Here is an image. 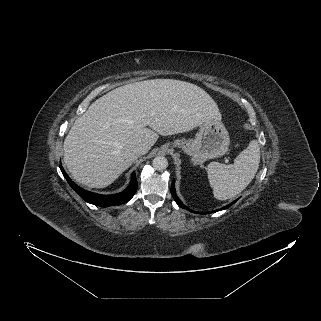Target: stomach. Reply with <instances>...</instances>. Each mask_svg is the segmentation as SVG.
<instances>
[{"instance_id":"1","label":"stomach","mask_w":321,"mask_h":321,"mask_svg":"<svg viewBox=\"0 0 321 321\" xmlns=\"http://www.w3.org/2000/svg\"><path fill=\"white\" fill-rule=\"evenodd\" d=\"M230 144L228 131L221 120H207L202 123L194 140H175L172 145L182 148L191 156L194 164H202L226 154Z\"/></svg>"}]
</instances>
